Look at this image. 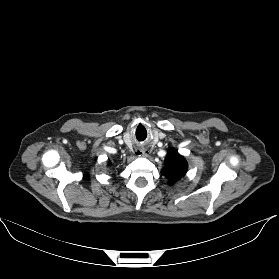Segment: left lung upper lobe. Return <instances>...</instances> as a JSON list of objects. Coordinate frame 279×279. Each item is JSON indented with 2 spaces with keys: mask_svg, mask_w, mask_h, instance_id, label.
<instances>
[{
  "mask_svg": "<svg viewBox=\"0 0 279 279\" xmlns=\"http://www.w3.org/2000/svg\"><path fill=\"white\" fill-rule=\"evenodd\" d=\"M187 168L188 164L184 157L174 150H170L166 159V166L161 173L173 184L185 175Z\"/></svg>",
  "mask_w": 279,
  "mask_h": 279,
  "instance_id": "obj_1",
  "label": "left lung upper lobe"
}]
</instances>
